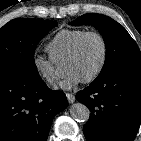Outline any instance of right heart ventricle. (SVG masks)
<instances>
[{"instance_id": "e07e8e85", "label": "right heart ventricle", "mask_w": 141, "mask_h": 141, "mask_svg": "<svg viewBox=\"0 0 141 141\" xmlns=\"http://www.w3.org/2000/svg\"><path fill=\"white\" fill-rule=\"evenodd\" d=\"M87 32L84 29H64L59 31L46 45V50L55 62H63L77 40Z\"/></svg>"}]
</instances>
